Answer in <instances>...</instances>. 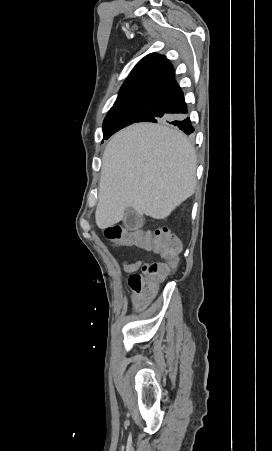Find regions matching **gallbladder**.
Listing matches in <instances>:
<instances>
[{
    "label": "gallbladder",
    "instance_id": "bac80fb5",
    "mask_svg": "<svg viewBox=\"0 0 272 451\" xmlns=\"http://www.w3.org/2000/svg\"><path fill=\"white\" fill-rule=\"evenodd\" d=\"M123 224L127 229H136V227H142L144 224L143 216H139L135 210L128 208L123 218Z\"/></svg>",
    "mask_w": 272,
    "mask_h": 451
}]
</instances>
